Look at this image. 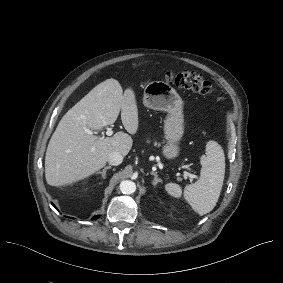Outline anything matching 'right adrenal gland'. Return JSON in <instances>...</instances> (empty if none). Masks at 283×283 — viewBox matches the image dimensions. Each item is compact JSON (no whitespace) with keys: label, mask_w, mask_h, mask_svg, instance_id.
Returning a JSON list of instances; mask_svg holds the SVG:
<instances>
[{"label":"right adrenal gland","mask_w":283,"mask_h":283,"mask_svg":"<svg viewBox=\"0 0 283 283\" xmlns=\"http://www.w3.org/2000/svg\"><path fill=\"white\" fill-rule=\"evenodd\" d=\"M111 169V166L105 167L102 171H97L96 174H101L103 179H106V171Z\"/></svg>","instance_id":"2a0ac1e0"}]
</instances>
